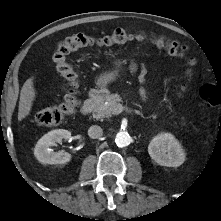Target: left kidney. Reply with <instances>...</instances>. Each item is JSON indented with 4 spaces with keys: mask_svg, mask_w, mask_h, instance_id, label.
Returning a JSON list of instances; mask_svg holds the SVG:
<instances>
[{
    "mask_svg": "<svg viewBox=\"0 0 221 221\" xmlns=\"http://www.w3.org/2000/svg\"><path fill=\"white\" fill-rule=\"evenodd\" d=\"M148 153L161 166L178 167L185 161V152L171 133L155 136L148 145Z\"/></svg>",
    "mask_w": 221,
    "mask_h": 221,
    "instance_id": "5707ae66",
    "label": "left kidney"
}]
</instances>
